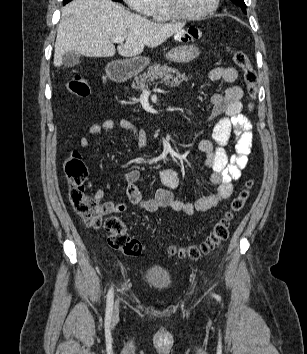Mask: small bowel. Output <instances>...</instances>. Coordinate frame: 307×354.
I'll return each instance as SVG.
<instances>
[{
  "mask_svg": "<svg viewBox=\"0 0 307 354\" xmlns=\"http://www.w3.org/2000/svg\"><path fill=\"white\" fill-rule=\"evenodd\" d=\"M188 29H177L175 38H186ZM209 79L213 82L222 81L232 84L237 79V71L233 67H216L209 73ZM243 90L240 86L231 85L223 93L213 95L211 98L212 112L211 119H216L212 140H202L198 148L205 155V164L211 171V182L216 187L214 193L205 195L195 202L179 201L171 192L178 188L180 179L173 168H165L160 176L166 189L156 191L153 198H143L142 192L137 185L140 179V171L131 169L124 175L126 181V194L129 202L139 208L153 213L161 208H169L185 215H193L196 212H204L217 206L223 200L229 198L233 191L232 181L238 180L241 171L248 163V156L251 152L253 133L252 125L242 114ZM119 127L129 131L133 135L134 141L145 147L148 143L147 133L144 129L136 127L130 120L107 119L96 122L89 126V136L107 132ZM234 135L235 154L229 158L225 147ZM83 136L79 144L82 148H88L91 144L90 137ZM103 189H96L93 197L97 201L104 198ZM107 214L123 212L126 209L124 202L113 203L106 201L103 203Z\"/></svg>",
  "mask_w": 307,
  "mask_h": 354,
  "instance_id": "c3829d8e",
  "label": "small bowel"
}]
</instances>
